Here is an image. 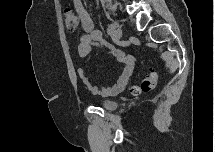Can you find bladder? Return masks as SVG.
Masks as SVG:
<instances>
[{"label":"bladder","mask_w":215,"mask_h":152,"mask_svg":"<svg viewBox=\"0 0 215 152\" xmlns=\"http://www.w3.org/2000/svg\"><path fill=\"white\" fill-rule=\"evenodd\" d=\"M100 106L108 112H113L117 108V103L110 100H104L100 102Z\"/></svg>","instance_id":"bladder-1"}]
</instances>
